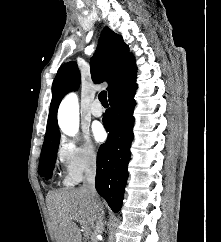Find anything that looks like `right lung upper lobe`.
<instances>
[{"label":"right lung upper lobe","mask_w":221,"mask_h":242,"mask_svg":"<svg viewBox=\"0 0 221 242\" xmlns=\"http://www.w3.org/2000/svg\"><path fill=\"white\" fill-rule=\"evenodd\" d=\"M91 74L95 83L108 82L109 96L119 83L136 73L135 59L122 37L105 27L100 35L97 50L91 59ZM80 72L75 62L62 65L53 81L45 138L59 135L57 110L62 98L80 85Z\"/></svg>","instance_id":"right-lung-upper-lobe-1"}]
</instances>
